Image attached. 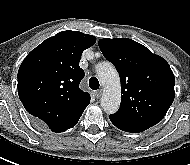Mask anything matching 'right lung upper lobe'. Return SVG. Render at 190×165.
<instances>
[{
	"mask_svg": "<svg viewBox=\"0 0 190 165\" xmlns=\"http://www.w3.org/2000/svg\"><path fill=\"white\" fill-rule=\"evenodd\" d=\"M95 42L89 34L63 31L43 41L20 65L19 98L53 132L73 128L90 103V95L79 88L85 75L79 61Z\"/></svg>",
	"mask_w": 190,
	"mask_h": 165,
	"instance_id": "cb5924a9",
	"label": "right lung upper lobe"
}]
</instances>
